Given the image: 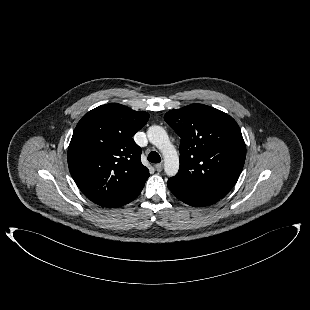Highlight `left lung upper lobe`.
Here are the masks:
<instances>
[{
  "mask_svg": "<svg viewBox=\"0 0 310 310\" xmlns=\"http://www.w3.org/2000/svg\"><path fill=\"white\" fill-rule=\"evenodd\" d=\"M165 121L180 136V168L169 180L208 196L223 198L244 166L246 146L228 114L202 104L171 110Z\"/></svg>",
  "mask_w": 310,
  "mask_h": 310,
  "instance_id": "obj_1",
  "label": "left lung upper lobe"
}]
</instances>
